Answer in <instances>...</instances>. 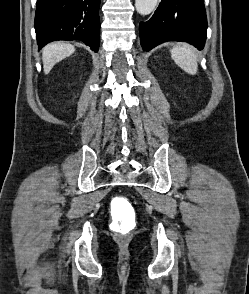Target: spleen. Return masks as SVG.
Wrapping results in <instances>:
<instances>
[{"label": "spleen", "instance_id": "3e777b00", "mask_svg": "<svg viewBox=\"0 0 249 294\" xmlns=\"http://www.w3.org/2000/svg\"><path fill=\"white\" fill-rule=\"evenodd\" d=\"M171 57L185 72L195 75L198 70V59L195 49L189 45L177 46L171 50Z\"/></svg>", "mask_w": 249, "mask_h": 294}]
</instances>
